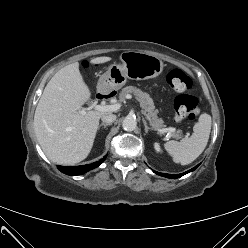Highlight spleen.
<instances>
[{
  "label": "spleen",
  "instance_id": "1",
  "mask_svg": "<svg viewBox=\"0 0 248 248\" xmlns=\"http://www.w3.org/2000/svg\"><path fill=\"white\" fill-rule=\"evenodd\" d=\"M211 116L202 113L193 127L194 133L189 138L178 141H168L164 144L166 151L175 163L187 165L202 154L209 140L211 132Z\"/></svg>",
  "mask_w": 248,
  "mask_h": 248
}]
</instances>
